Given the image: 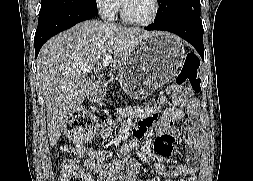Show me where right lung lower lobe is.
<instances>
[{
	"instance_id": "98d812e1",
	"label": "right lung lower lobe",
	"mask_w": 253,
	"mask_h": 181,
	"mask_svg": "<svg viewBox=\"0 0 253 181\" xmlns=\"http://www.w3.org/2000/svg\"><path fill=\"white\" fill-rule=\"evenodd\" d=\"M98 11L83 8H71L43 17L38 21L34 46L36 57L42 45L54 35L69 29L75 24L97 15Z\"/></svg>"
}]
</instances>
